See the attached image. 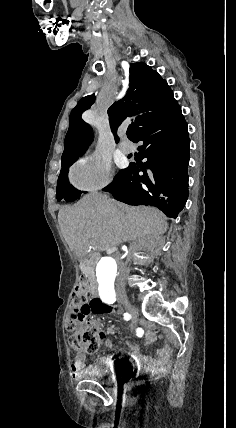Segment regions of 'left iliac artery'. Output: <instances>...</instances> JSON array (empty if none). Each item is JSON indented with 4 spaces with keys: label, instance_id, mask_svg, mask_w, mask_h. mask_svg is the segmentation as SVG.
<instances>
[{
    "label": "left iliac artery",
    "instance_id": "left-iliac-artery-1",
    "mask_svg": "<svg viewBox=\"0 0 236 428\" xmlns=\"http://www.w3.org/2000/svg\"><path fill=\"white\" fill-rule=\"evenodd\" d=\"M99 296L103 302L113 304L116 301L115 291H99Z\"/></svg>",
    "mask_w": 236,
    "mask_h": 428
}]
</instances>
